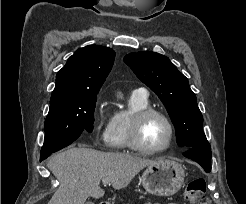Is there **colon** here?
Instances as JSON below:
<instances>
[{
	"label": "colon",
	"mask_w": 246,
	"mask_h": 204,
	"mask_svg": "<svg viewBox=\"0 0 246 204\" xmlns=\"http://www.w3.org/2000/svg\"><path fill=\"white\" fill-rule=\"evenodd\" d=\"M184 196L190 204H209L205 179L199 177L191 180L185 189Z\"/></svg>",
	"instance_id": "1"
}]
</instances>
